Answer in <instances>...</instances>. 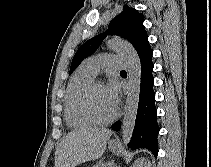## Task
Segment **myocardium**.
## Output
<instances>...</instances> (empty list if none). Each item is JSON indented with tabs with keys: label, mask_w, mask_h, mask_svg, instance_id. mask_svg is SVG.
I'll use <instances>...</instances> for the list:
<instances>
[{
	"label": "myocardium",
	"mask_w": 211,
	"mask_h": 167,
	"mask_svg": "<svg viewBox=\"0 0 211 167\" xmlns=\"http://www.w3.org/2000/svg\"><path fill=\"white\" fill-rule=\"evenodd\" d=\"M98 84H101L97 81H92L84 90L83 94H82V98H81V109L83 114L95 125H107L111 122H113L117 116H118V112L115 111L114 114L112 116H110L109 118L106 119H101L99 117H97L94 112L91 109V105H90V97L92 94V91L94 89V87Z\"/></svg>",
	"instance_id": "myocardium-1"
}]
</instances>
